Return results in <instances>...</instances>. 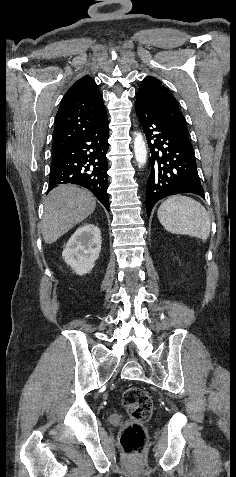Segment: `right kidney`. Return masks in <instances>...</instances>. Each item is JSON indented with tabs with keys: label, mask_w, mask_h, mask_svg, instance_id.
I'll use <instances>...</instances> for the list:
<instances>
[{
	"label": "right kidney",
	"mask_w": 236,
	"mask_h": 477,
	"mask_svg": "<svg viewBox=\"0 0 236 477\" xmlns=\"http://www.w3.org/2000/svg\"><path fill=\"white\" fill-rule=\"evenodd\" d=\"M101 251V231L93 224L79 227L62 252L64 261L76 274L89 273Z\"/></svg>",
	"instance_id": "ca27d5eb"
}]
</instances>
